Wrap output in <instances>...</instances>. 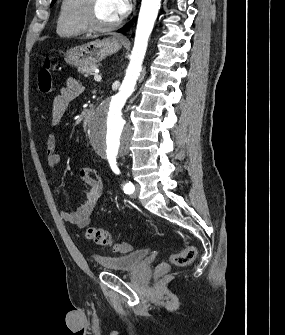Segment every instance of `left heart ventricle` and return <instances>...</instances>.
Segmentation results:
<instances>
[{
	"label": "left heart ventricle",
	"mask_w": 285,
	"mask_h": 335,
	"mask_svg": "<svg viewBox=\"0 0 285 335\" xmlns=\"http://www.w3.org/2000/svg\"><path fill=\"white\" fill-rule=\"evenodd\" d=\"M95 20L98 25L109 26L115 23L114 1H96Z\"/></svg>",
	"instance_id": "b2bd125f"
}]
</instances>
